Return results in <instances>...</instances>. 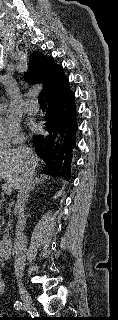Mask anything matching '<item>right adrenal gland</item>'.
<instances>
[{"label":"right adrenal gland","mask_w":118,"mask_h":320,"mask_svg":"<svg viewBox=\"0 0 118 320\" xmlns=\"http://www.w3.org/2000/svg\"><path fill=\"white\" fill-rule=\"evenodd\" d=\"M42 179L39 178L38 176H34V179H33V182H32V186H31V189L30 191H34L35 187L38 186V184L40 183Z\"/></svg>","instance_id":"obj_1"}]
</instances>
